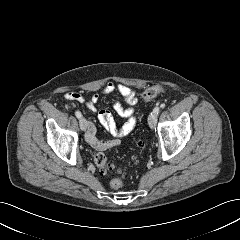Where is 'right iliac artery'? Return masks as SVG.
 Returning <instances> with one entry per match:
<instances>
[{
    "instance_id": "right-iliac-artery-1",
    "label": "right iliac artery",
    "mask_w": 240,
    "mask_h": 240,
    "mask_svg": "<svg viewBox=\"0 0 240 240\" xmlns=\"http://www.w3.org/2000/svg\"><path fill=\"white\" fill-rule=\"evenodd\" d=\"M75 115L78 119H80L82 117L81 113L79 111H76L75 112Z\"/></svg>"
}]
</instances>
